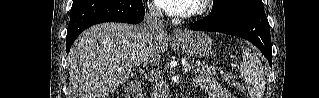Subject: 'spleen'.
<instances>
[{
    "label": "spleen",
    "instance_id": "spleen-1",
    "mask_svg": "<svg viewBox=\"0 0 319 98\" xmlns=\"http://www.w3.org/2000/svg\"><path fill=\"white\" fill-rule=\"evenodd\" d=\"M243 62L240 69L251 98H263L265 76L261 61L249 48L242 47Z\"/></svg>",
    "mask_w": 319,
    "mask_h": 98
}]
</instances>
